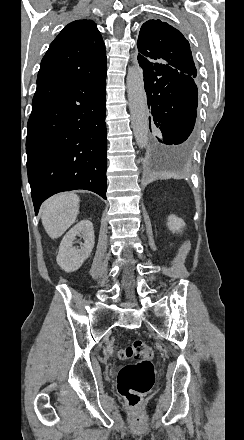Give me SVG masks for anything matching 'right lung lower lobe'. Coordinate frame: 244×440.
Wrapping results in <instances>:
<instances>
[{
  "instance_id": "98d812e1",
  "label": "right lung lower lobe",
  "mask_w": 244,
  "mask_h": 440,
  "mask_svg": "<svg viewBox=\"0 0 244 440\" xmlns=\"http://www.w3.org/2000/svg\"><path fill=\"white\" fill-rule=\"evenodd\" d=\"M105 89L106 65L37 84L26 138L35 214L62 191L106 199Z\"/></svg>"
}]
</instances>
